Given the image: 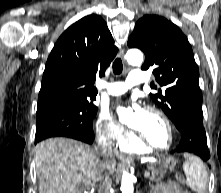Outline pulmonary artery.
Returning a JSON list of instances; mask_svg holds the SVG:
<instances>
[{"label": "pulmonary artery", "instance_id": "obj_1", "mask_svg": "<svg viewBox=\"0 0 221 193\" xmlns=\"http://www.w3.org/2000/svg\"><path fill=\"white\" fill-rule=\"evenodd\" d=\"M147 81L148 77L144 71L134 69L130 72L125 82L103 83L102 86L106 87L108 94L120 95L125 93L132 86L141 85Z\"/></svg>", "mask_w": 221, "mask_h": 193}]
</instances>
